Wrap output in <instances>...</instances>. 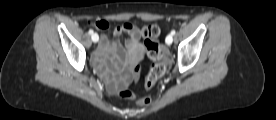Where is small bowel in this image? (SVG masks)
<instances>
[{"mask_svg": "<svg viewBox=\"0 0 276 120\" xmlns=\"http://www.w3.org/2000/svg\"><path fill=\"white\" fill-rule=\"evenodd\" d=\"M95 28L100 32H104L110 29L111 26L105 20H98L95 22ZM112 33L115 36L122 34L128 36L125 46L130 52L137 53L140 50V32L136 26L129 23L116 26L112 28ZM126 61L127 54L122 45L117 41H109L106 35L102 34L93 62L96 71L111 93H116L123 88L130 78L129 74L122 70Z\"/></svg>", "mask_w": 276, "mask_h": 120, "instance_id": "c3829d8e", "label": "small bowel"}]
</instances>
